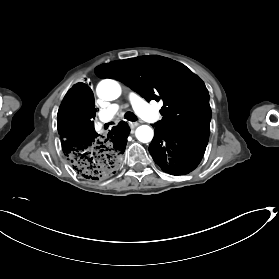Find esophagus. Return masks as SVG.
Instances as JSON below:
<instances>
[{
  "label": "esophagus",
  "instance_id": "1",
  "mask_svg": "<svg viewBox=\"0 0 279 279\" xmlns=\"http://www.w3.org/2000/svg\"><path fill=\"white\" fill-rule=\"evenodd\" d=\"M139 125V123L137 122H131L129 123V126L133 129V128H136L137 126Z\"/></svg>",
  "mask_w": 279,
  "mask_h": 279
}]
</instances>
